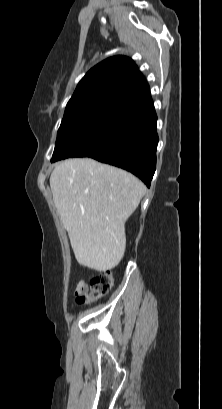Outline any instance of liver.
I'll return each mask as SVG.
<instances>
[{
	"label": "liver",
	"mask_w": 222,
	"mask_h": 409,
	"mask_svg": "<svg viewBox=\"0 0 222 409\" xmlns=\"http://www.w3.org/2000/svg\"><path fill=\"white\" fill-rule=\"evenodd\" d=\"M50 187L79 264L99 272L123 258L125 223L145 194L143 183L120 168L91 158L59 163Z\"/></svg>",
	"instance_id": "obj_1"
}]
</instances>
